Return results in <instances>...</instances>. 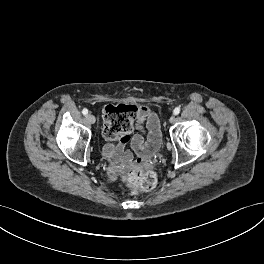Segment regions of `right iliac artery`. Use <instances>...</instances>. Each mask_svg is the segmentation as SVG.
I'll list each match as a JSON object with an SVG mask.
<instances>
[{"instance_id":"right-iliac-artery-1","label":"right iliac artery","mask_w":264,"mask_h":264,"mask_svg":"<svg viewBox=\"0 0 264 264\" xmlns=\"http://www.w3.org/2000/svg\"><path fill=\"white\" fill-rule=\"evenodd\" d=\"M82 113H83V115L86 116L88 114V110L86 108H84L83 111H82Z\"/></svg>"}]
</instances>
